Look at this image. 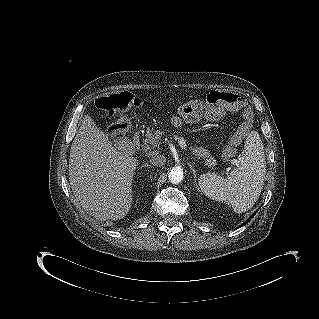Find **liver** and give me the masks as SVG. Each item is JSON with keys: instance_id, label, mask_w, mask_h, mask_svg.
<instances>
[{"instance_id": "obj_1", "label": "liver", "mask_w": 319, "mask_h": 319, "mask_svg": "<svg viewBox=\"0 0 319 319\" xmlns=\"http://www.w3.org/2000/svg\"><path fill=\"white\" fill-rule=\"evenodd\" d=\"M71 189L82 208L96 219H122L132 205L137 159L113 146L86 115L69 156Z\"/></svg>"}]
</instances>
